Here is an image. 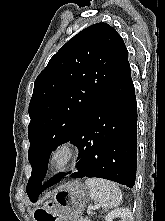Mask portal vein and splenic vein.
Segmentation results:
<instances>
[{"label": "portal vein and splenic vein", "instance_id": "portal-vein-and-splenic-vein-1", "mask_svg": "<svg viewBox=\"0 0 165 221\" xmlns=\"http://www.w3.org/2000/svg\"><path fill=\"white\" fill-rule=\"evenodd\" d=\"M88 209L90 210V209H91V207H89ZM84 221H87V220H84Z\"/></svg>", "mask_w": 165, "mask_h": 221}]
</instances>
